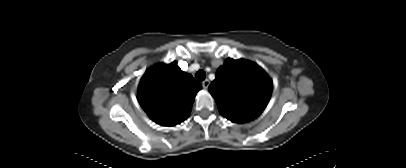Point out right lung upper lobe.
Listing matches in <instances>:
<instances>
[{
	"mask_svg": "<svg viewBox=\"0 0 406 168\" xmlns=\"http://www.w3.org/2000/svg\"><path fill=\"white\" fill-rule=\"evenodd\" d=\"M202 88L199 82L183 72L176 62L160 63L142 77L138 101L157 124L174 126L190 114L194 98Z\"/></svg>",
	"mask_w": 406,
	"mask_h": 168,
	"instance_id": "1",
	"label": "right lung upper lobe"
}]
</instances>
